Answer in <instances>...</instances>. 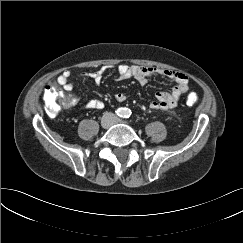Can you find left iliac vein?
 I'll list each match as a JSON object with an SVG mask.
<instances>
[{"label": "left iliac vein", "instance_id": "obj_1", "mask_svg": "<svg viewBox=\"0 0 243 243\" xmlns=\"http://www.w3.org/2000/svg\"><path fill=\"white\" fill-rule=\"evenodd\" d=\"M114 123H126V122H124V121H122V120L117 118V119L114 120Z\"/></svg>", "mask_w": 243, "mask_h": 243}]
</instances>
